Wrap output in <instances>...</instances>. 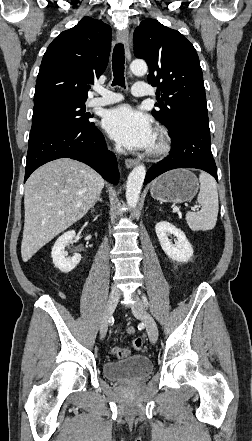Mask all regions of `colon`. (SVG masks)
<instances>
[{
  "label": "colon",
  "mask_w": 252,
  "mask_h": 441,
  "mask_svg": "<svg viewBox=\"0 0 252 441\" xmlns=\"http://www.w3.org/2000/svg\"><path fill=\"white\" fill-rule=\"evenodd\" d=\"M132 347L134 350H141L143 347V341L141 338H135L132 341ZM129 351L125 348L115 347L112 349V354L117 358H124L128 355Z\"/></svg>",
  "instance_id": "colon-1"
}]
</instances>
